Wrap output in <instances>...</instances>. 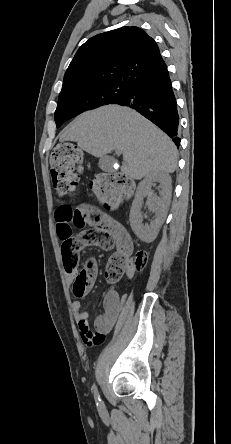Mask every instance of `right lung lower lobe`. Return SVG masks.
<instances>
[{"instance_id":"98d812e1","label":"right lung lower lobe","mask_w":231,"mask_h":444,"mask_svg":"<svg viewBox=\"0 0 231 444\" xmlns=\"http://www.w3.org/2000/svg\"><path fill=\"white\" fill-rule=\"evenodd\" d=\"M129 106L148 118L179 146V115L168 70L145 77L131 85L129 93L115 102Z\"/></svg>"}]
</instances>
